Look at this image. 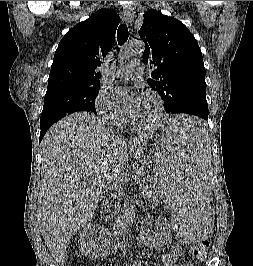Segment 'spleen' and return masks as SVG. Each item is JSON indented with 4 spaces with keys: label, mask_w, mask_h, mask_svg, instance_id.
I'll return each instance as SVG.
<instances>
[{
    "label": "spleen",
    "mask_w": 253,
    "mask_h": 266,
    "mask_svg": "<svg viewBox=\"0 0 253 266\" xmlns=\"http://www.w3.org/2000/svg\"><path fill=\"white\" fill-rule=\"evenodd\" d=\"M161 137L147 179L151 199H159L162 210H172L169 226L176 248H201V242H211L216 215L208 190V135L195 115H166Z\"/></svg>",
    "instance_id": "1"
}]
</instances>
